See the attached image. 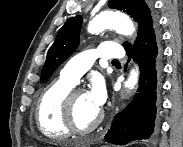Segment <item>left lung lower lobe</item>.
Wrapping results in <instances>:
<instances>
[{
  "label": "left lung lower lobe",
  "instance_id": "0a47b994",
  "mask_svg": "<svg viewBox=\"0 0 183 147\" xmlns=\"http://www.w3.org/2000/svg\"><path fill=\"white\" fill-rule=\"evenodd\" d=\"M161 36L155 28L139 39L134 48L129 46L126 53L129 60L137 56L140 67L139 88L132 102L112 122L105 140L124 145L135 140L148 139L159 125L162 88Z\"/></svg>",
  "mask_w": 183,
  "mask_h": 147
}]
</instances>
